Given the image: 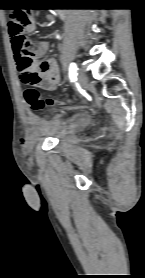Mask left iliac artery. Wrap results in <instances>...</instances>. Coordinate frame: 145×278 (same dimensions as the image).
I'll list each match as a JSON object with an SVG mask.
<instances>
[{"label": "left iliac artery", "instance_id": "44dca946", "mask_svg": "<svg viewBox=\"0 0 145 278\" xmlns=\"http://www.w3.org/2000/svg\"><path fill=\"white\" fill-rule=\"evenodd\" d=\"M77 65L76 63L72 62L69 66V78L71 82H74L77 80Z\"/></svg>", "mask_w": 145, "mask_h": 278}]
</instances>
